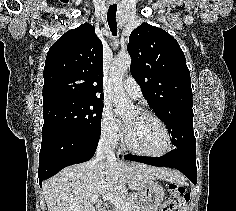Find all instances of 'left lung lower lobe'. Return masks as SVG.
<instances>
[{"label": "left lung lower lobe", "mask_w": 236, "mask_h": 211, "mask_svg": "<svg viewBox=\"0 0 236 211\" xmlns=\"http://www.w3.org/2000/svg\"><path fill=\"white\" fill-rule=\"evenodd\" d=\"M127 160L141 162L158 167H172L181 171L193 184H196V149L180 150L174 149L162 157H142L135 155L124 156Z\"/></svg>", "instance_id": "1"}]
</instances>
